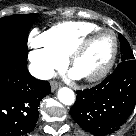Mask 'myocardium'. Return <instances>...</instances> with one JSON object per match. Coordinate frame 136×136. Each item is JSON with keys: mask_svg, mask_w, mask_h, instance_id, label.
Wrapping results in <instances>:
<instances>
[{"mask_svg": "<svg viewBox=\"0 0 136 136\" xmlns=\"http://www.w3.org/2000/svg\"><path fill=\"white\" fill-rule=\"evenodd\" d=\"M105 33H109L113 37L112 54H111L109 60L107 61V63L101 69H99L95 73L81 76L82 79L87 82H96V81L103 79L104 77H106L108 75V73L113 68V66L116 62L118 50H119V42H118V38H117L116 33L110 29H102L101 28V29L87 35L84 39H82V41L73 49V51L69 55V64L74 69L77 60L87 51V49L92 44V42L98 36L105 34Z\"/></svg>", "mask_w": 136, "mask_h": 136, "instance_id": "myocardium-1", "label": "myocardium"}]
</instances>
